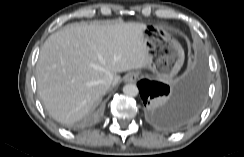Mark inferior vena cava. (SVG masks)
I'll list each match as a JSON object with an SVG mask.
<instances>
[{
    "instance_id": "602c4592",
    "label": "inferior vena cava",
    "mask_w": 244,
    "mask_h": 157,
    "mask_svg": "<svg viewBox=\"0 0 244 157\" xmlns=\"http://www.w3.org/2000/svg\"><path fill=\"white\" fill-rule=\"evenodd\" d=\"M113 80H114L113 75H112V74H107V75H105V77L103 78V83H104V84H107V85H111L112 82H113Z\"/></svg>"
}]
</instances>
